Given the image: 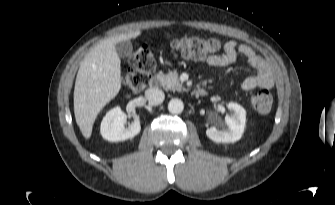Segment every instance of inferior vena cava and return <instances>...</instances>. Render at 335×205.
I'll return each mask as SVG.
<instances>
[{"label": "inferior vena cava", "mask_w": 335, "mask_h": 205, "mask_svg": "<svg viewBox=\"0 0 335 205\" xmlns=\"http://www.w3.org/2000/svg\"><path fill=\"white\" fill-rule=\"evenodd\" d=\"M145 97L148 99V101L151 104H160L163 100H164V93L159 90V89H155V88H150L148 90H146L145 92Z\"/></svg>", "instance_id": "obj_1"}]
</instances>
